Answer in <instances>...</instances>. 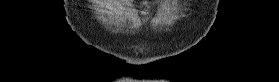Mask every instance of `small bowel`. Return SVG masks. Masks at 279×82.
I'll return each instance as SVG.
<instances>
[{
    "mask_svg": "<svg viewBox=\"0 0 279 82\" xmlns=\"http://www.w3.org/2000/svg\"><path fill=\"white\" fill-rule=\"evenodd\" d=\"M95 4H96V5H101V4H103V3L99 2V1H95Z\"/></svg>",
    "mask_w": 279,
    "mask_h": 82,
    "instance_id": "c3829d8e",
    "label": "small bowel"
}]
</instances>
